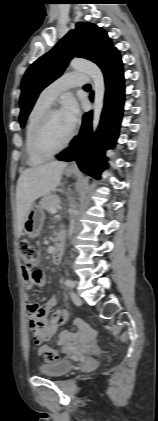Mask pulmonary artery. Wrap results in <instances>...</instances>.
<instances>
[{"label":"pulmonary artery","instance_id":"e3ab8cb5","mask_svg":"<svg viewBox=\"0 0 158 421\" xmlns=\"http://www.w3.org/2000/svg\"><path fill=\"white\" fill-rule=\"evenodd\" d=\"M87 80V76L83 73H64L42 90L39 95V99L48 104H51L60 93L71 87L84 85Z\"/></svg>","mask_w":158,"mask_h":421}]
</instances>
